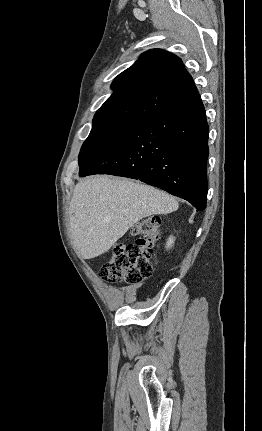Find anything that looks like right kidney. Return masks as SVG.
<instances>
[{
	"instance_id": "obj_1",
	"label": "right kidney",
	"mask_w": 262,
	"mask_h": 431,
	"mask_svg": "<svg viewBox=\"0 0 262 431\" xmlns=\"http://www.w3.org/2000/svg\"><path fill=\"white\" fill-rule=\"evenodd\" d=\"M173 243H174V237L170 236L167 241L166 248H170Z\"/></svg>"
}]
</instances>
